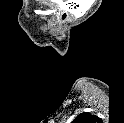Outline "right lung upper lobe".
<instances>
[{
	"label": "right lung upper lobe",
	"mask_w": 124,
	"mask_h": 123,
	"mask_svg": "<svg viewBox=\"0 0 124 123\" xmlns=\"http://www.w3.org/2000/svg\"><path fill=\"white\" fill-rule=\"evenodd\" d=\"M99 119L97 116L91 115L88 112L80 113L74 120V123H91L95 120Z\"/></svg>",
	"instance_id": "1"
}]
</instances>
